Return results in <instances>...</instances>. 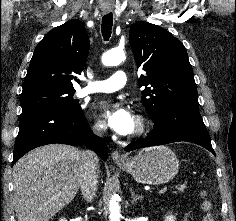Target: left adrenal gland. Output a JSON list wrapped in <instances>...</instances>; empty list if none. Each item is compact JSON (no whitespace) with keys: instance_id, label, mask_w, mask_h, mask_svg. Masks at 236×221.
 Wrapping results in <instances>:
<instances>
[{"instance_id":"obj_1","label":"left adrenal gland","mask_w":236,"mask_h":221,"mask_svg":"<svg viewBox=\"0 0 236 221\" xmlns=\"http://www.w3.org/2000/svg\"><path fill=\"white\" fill-rule=\"evenodd\" d=\"M130 193H131V203L135 204V202H137V200H142L143 196L141 195H137L134 191L133 188L130 189Z\"/></svg>"}]
</instances>
